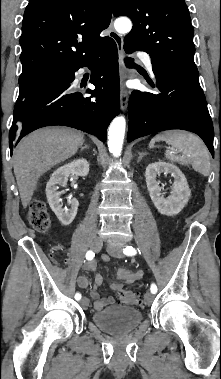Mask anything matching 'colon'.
<instances>
[{"label": "colon", "instance_id": "colon-1", "mask_svg": "<svg viewBox=\"0 0 221 379\" xmlns=\"http://www.w3.org/2000/svg\"><path fill=\"white\" fill-rule=\"evenodd\" d=\"M28 220L30 225L38 232L44 233L50 227V218L47 207L43 201H34L31 205ZM120 299L126 304L141 303L139 293L132 291H122L119 293Z\"/></svg>", "mask_w": 221, "mask_h": 379}]
</instances>
